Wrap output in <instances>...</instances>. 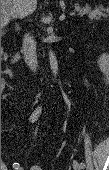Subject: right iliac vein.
<instances>
[{"instance_id": "1", "label": "right iliac vein", "mask_w": 109, "mask_h": 170, "mask_svg": "<svg viewBox=\"0 0 109 170\" xmlns=\"http://www.w3.org/2000/svg\"><path fill=\"white\" fill-rule=\"evenodd\" d=\"M18 170H23V168H22V167H19Z\"/></svg>"}]
</instances>
